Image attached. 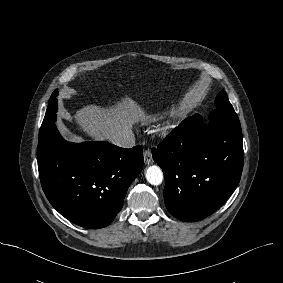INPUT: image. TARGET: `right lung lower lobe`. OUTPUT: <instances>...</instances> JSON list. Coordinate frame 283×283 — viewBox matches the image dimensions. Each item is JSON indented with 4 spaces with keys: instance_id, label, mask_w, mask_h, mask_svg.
I'll use <instances>...</instances> for the list:
<instances>
[{
    "instance_id": "1",
    "label": "right lung lower lobe",
    "mask_w": 283,
    "mask_h": 283,
    "mask_svg": "<svg viewBox=\"0 0 283 283\" xmlns=\"http://www.w3.org/2000/svg\"><path fill=\"white\" fill-rule=\"evenodd\" d=\"M39 176L51 205L91 229L109 225L143 167L142 146L124 149L97 141L72 143L54 126L37 147Z\"/></svg>"
}]
</instances>
